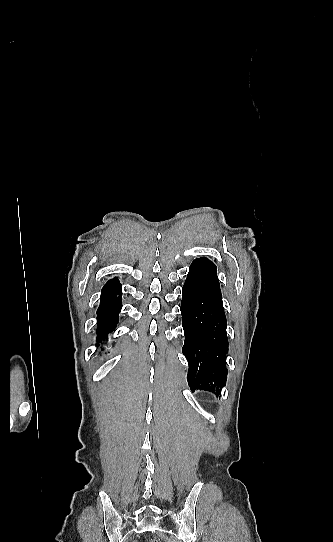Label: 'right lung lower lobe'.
<instances>
[{
  "label": "right lung lower lobe",
  "mask_w": 333,
  "mask_h": 542,
  "mask_svg": "<svg viewBox=\"0 0 333 542\" xmlns=\"http://www.w3.org/2000/svg\"><path fill=\"white\" fill-rule=\"evenodd\" d=\"M121 284L118 278L109 280L102 288L100 297V306L97 310V341L100 344L101 339L113 332L118 323L121 304Z\"/></svg>",
  "instance_id": "98d812e1"
}]
</instances>
